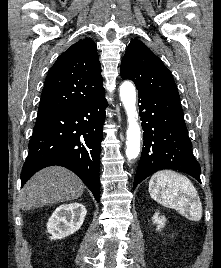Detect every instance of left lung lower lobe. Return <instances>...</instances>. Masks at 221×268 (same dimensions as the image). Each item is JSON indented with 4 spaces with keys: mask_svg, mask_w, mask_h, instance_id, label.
<instances>
[{
    "mask_svg": "<svg viewBox=\"0 0 221 268\" xmlns=\"http://www.w3.org/2000/svg\"><path fill=\"white\" fill-rule=\"evenodd\" d=\"M144 130L143 149L133 189L160 169H175L200 180V165L192 150L179 99L138 93Z\"/></svg>",
    "mask_w": 221,
    "mask_h": 268,
    "instance_id": "obj_1",
    "label": "left lung lower lobe"
}]
</instances>
